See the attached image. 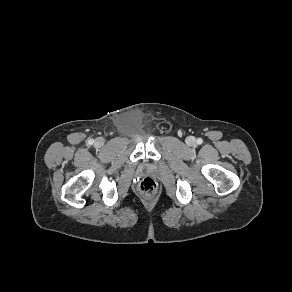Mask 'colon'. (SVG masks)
Wrapping results in <instances>:
<instances>
[{
	"mask_svg": "<svg viewBox=\"0 0 292 292\" xmlns=\"http://www.w3.org/2000/svg\"><path fill=\"white\" fill-rule=\"evenodd\" d=\"M140 191L146 196H152L157 191V183L150 177L143 179L139 185Z\"/></svg>",
	"mask_w": 292,
	"mask_h": 292,
	"instance_id": "obj_1",
	"label": "colon"
}]
</instances>
